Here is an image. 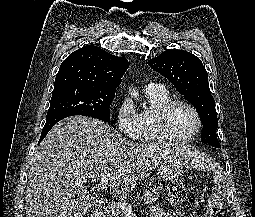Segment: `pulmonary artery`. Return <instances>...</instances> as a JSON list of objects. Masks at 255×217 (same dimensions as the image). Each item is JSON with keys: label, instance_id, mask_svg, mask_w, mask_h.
<instances>
[{"label": "pulmonary artery", "instance_id": "obj_1", "mask_svg": "<svg viewBox=\"0 0 255 217\" xmlns=\"http://www.w3.org/2000/svg\"><path fill=\"white\" fill-rule=\"evenodd\" d=\"M152 86H159V84L151 83V84H149L147 87H152Z\"/></svg>", "mask_w": 255, "mask_h": 217}]
</instances>
